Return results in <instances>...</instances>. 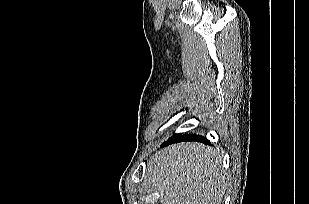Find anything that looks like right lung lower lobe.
<instances>
[{
    "mask_svg": "<svg viewBox=\"0 0 309 204\" xmlns=\"http://www.w3.org/2000/svg\"><path fill=\"white\" fill-rule=\"evenodd\" d=\"M181 141H200L203 143L210 144L209 140H207L206 138H203L202 136H198L196 134H185V135L178 134L176 136H172L171 138H169L167 142L161 145V147L172 144V143L181 142Z\"/></svg>",
    "mask_w": 309,
    "mask_h": 204,
    "instance_id": "obj_1",
    "label": "right lung lower lobe"
}]
</instances>
